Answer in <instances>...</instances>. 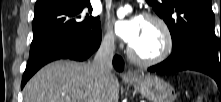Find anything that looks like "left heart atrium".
<instances>
[{
  "label": "left heart atrium",
  "instance_id": "obj_1",
  "mask_svg": "<svg viewBox=\"0 0 221 102\" xmlns=\"http://www.w3.org/2000/svg\"><path fill=\"white\" fill-rule=\"evenodd\" d=\"M143 18L133 15L127 19L116 21L115 27L117 34L130 45L138 38Z\"/></svg>",
  "mask_w": 221,
  "mask_h": 102
}]
</instances>
